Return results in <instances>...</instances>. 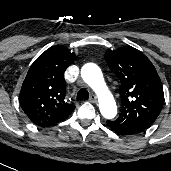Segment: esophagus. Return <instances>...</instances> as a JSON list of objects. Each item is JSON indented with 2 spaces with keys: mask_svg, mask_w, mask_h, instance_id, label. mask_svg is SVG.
Listing matches in <instances>:
<instances>
[{
  "mask_svg": "<svg viewBox=\"0 0 171 171\" xmlns=\"http://www.w3.org/2000/svg\"><path fill=\"white\" fill-rule=\"evenodd\" d=\"M89 101L92 102V103H96L97 100H96L95 95L91 94V95L89 96Z\"/></svg>",
  "mask_w": 171,
  "mask_h": 171,
  "instance_id": "1",
  "label": "esophagus"
}]
</instances>
